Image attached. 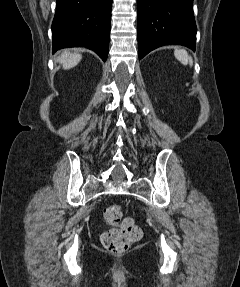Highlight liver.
I'll list each match as a JSON object with an SVG mask.
<instances>
[{"label":"liver","instance_id":"1","mask_svg":"<svg viewBox=\"0 0 240 287\" xmlns=\"http://www.w3.org/2000/svg\"><path fill=\"white\" fill-rule=\"evenodd\" d=\"M81 58L82 56L78 53L71 54L69 51L64 50L58 61L63 64L64 69H71L80 62Z\"/></svg>","mask_w":240,"mask_h":287}]
</instances>
